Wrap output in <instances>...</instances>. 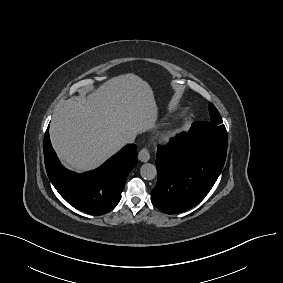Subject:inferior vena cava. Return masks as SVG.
<instances>
[{
    "instance_id": "obj_1",
    "label": "inferior vena cava",
    "mask_w": 283,
    "mask_h": 283,
    "mask_svg": "<svg viewBox=\"0 0 283 283\" xmlns=\"http://www.w3.org/2000/svg\"><path fill=\"white\" fill-rule=\"evenodd\" d=\"M136 138V134L133 132H126L122 134L119 138V142L121 145L133 143Z\"/></svg>"
}]
</instances>
